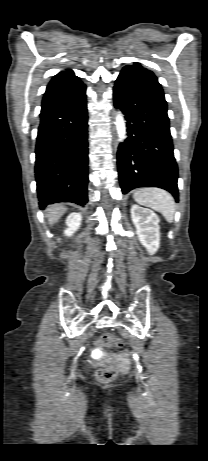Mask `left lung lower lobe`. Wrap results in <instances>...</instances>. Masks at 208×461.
<instances>
[{
    "label": "left lung lower lobe",
    "instance_id": "left-lung-lower-lobe-1",
    "mask_svg": "<svg viewBox=\"0 0 208 461\" xmlns=\"http://www.w3.org/2000/svg\"><path fill=\"white\" fill-rule=\"evenodd\" d=\"M113 98L127 121V138L117 152L123 194L137 187H159L178 201V167L161 85L141 72L122 70Z\"/></svg>",
    "mask_w": 208,
    "mask_h": 461
}]
</instances>
